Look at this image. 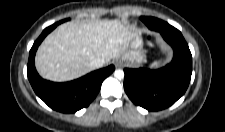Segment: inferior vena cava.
<instances>
[{"mask_svg": "<svg viewBox=\"0 0 225 132\" xmlns=\"http://www.w3.org/2000/svg\"><path fill=\"white\" fill-rule=\"evenodd\" d=\"M105 64V60L103 58H94L91 62H90V66L92 69H96V68H100Z\"/></svg>", "mask_w": 225, "mask_h": 132, "instance_id": "602c4592", "label": "inferior vena cava"}]
</instances>
